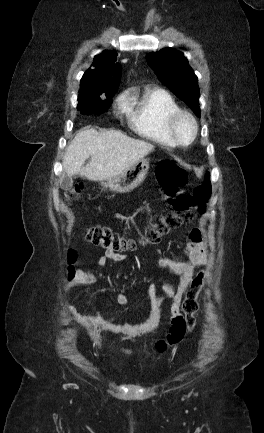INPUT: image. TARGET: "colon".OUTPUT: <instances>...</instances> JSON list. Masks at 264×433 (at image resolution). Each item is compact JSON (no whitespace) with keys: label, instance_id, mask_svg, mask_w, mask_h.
<instances>
[{"label":"colon","instance_id":"obj_1","mask_svg":"<svg viewBox=\"0 0 264 433\" xmlns=\"http://www.w3.org/2000/svg\"><path fill=\"white\" fill-rule=\"evenodd\" d=\"M157 180L162 192L172 210L154 215L148 227L138 239H133L102 227H90L86 232V240L105 251L121 253L135 249L138 245L155 244L162 236L176 229L184 223L190 222L194 214L204 212L211 194L209 176L196 186L193 193H187L183 187L187 184L188 176L185 169L173 161L162 162L157 170ZM82 186L77 185L66 191V198H77ZM70 253V259H73ZM206 272H199L191 281L182 302V310L186 327L191 331L195 326V313L198 309V296L204 286Z\"/></svg>","mask_w":264,"mask_h":433}]
</instances>
